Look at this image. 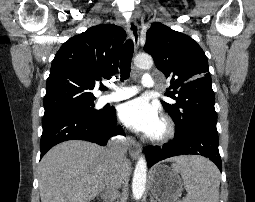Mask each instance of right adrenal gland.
<instances>
[{
	"instance_id": "1",
	"label": "right adrenal gland",
	"mask_w": 255,
	"mask_h": 202,
	"mask_svg": "<svg viewBox=\"0 0 255 202\" xmlns=\"http://www.w3.org/2000/svg\"><path fill=\"white\" fill-rule=\"evenodd\" d=\"M100 196H101V198L104 199L105 202H109V199H108L106 193H101ZM110 202H112V201H110Z\"/></svg>"
}]
</instances>
